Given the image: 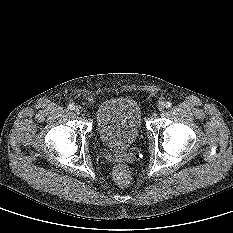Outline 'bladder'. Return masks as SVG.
Here are the masks:
<instances>
[{"label":"bladder","instance_id":"1","mask_svg":"<svg viewBox=\"0 0 233 233\" xmlns=\"http://www.w3.org/2000/svg\"><path fill=\"white\" fill-rule=\"evenodd\" d=\"M95 127L106 147L112 150L129 148L139 138L143 129L140 103L130 96L106 99L96 110Z\"/></svg>","mask_w":233,"mask_h":233}]
</instances>
